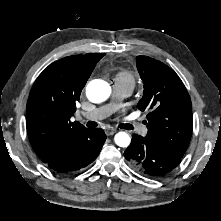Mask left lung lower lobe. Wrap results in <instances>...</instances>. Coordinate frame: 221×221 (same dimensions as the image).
Masks as SVG:
<instances>
[{
  "label": "left lung lower lobe",
  "instance_id": "1",
  "mask_svg": "<svg viewBox=\"0 0 221 221\" xmlns=\"http://www.w3.org/2000/svg\"><path fill=\"white\" fill-rule=\"evenodd\" d=\"M124 156L136 170L149 177L166 175L182 159L158 142L137 134L133 135Z\"/></svg>",
  "mask_w": 221,
  "mask_h": 221
}]
</instances>
